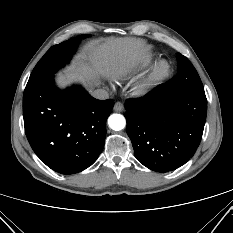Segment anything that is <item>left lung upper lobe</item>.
I'll return each instance as SVG.
<instances>
[{
	"mask_svg": "<svg viewBox=\"0 0 233 233\" xmlns=\"http://www.w3.org/2000/svg\"><path fill=\"white\" fill-rule=\"evenodd\" d=\"M177 60L178 73L166 83L167 87L205 93L200 77L189 60L180 53H177Z\"/></svg>",
	"mask_w": 233,
	"mask_h": 233,
	"instance_id": "5c2ea615",
	"label": "left lung upper lobe"
}]
</instances>
